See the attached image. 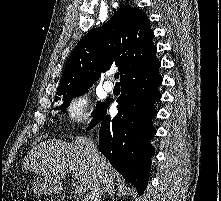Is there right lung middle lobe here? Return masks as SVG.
Instances as JSON below:
<instances>
[{
    "label": "right lung middle lobe",
    "mask_w": 221,
    "mask_h": 201,
    "mask_svg": "<svg viewBox=\"0 0 221 201\" xmlns=\"http://www.w3.org/2000/svg\"><path fill=\"white\" fill-rule=\"evenodd\" d=\"M86 92H87V90L85 89V90L72 91V92H69V93L63 94V95H57V97L55 98V101H58V100H60L61 97H63L64 102L61 106V110L65 111L66 107L70 104L71 100L74 97L83 95ZM105 104H106V102L105 103L98 102L96 110L92 113V115L94 116V119L91 122L90 126H93L97 122L102 110L104 109Z\"/></svg>",
    "instance_id": "right-lung-middle-lobe-1"
}]
</instances>
